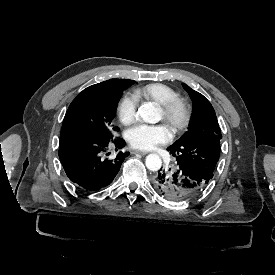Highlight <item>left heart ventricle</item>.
<instances>
[{
	"mask_svg": "<svg viewBox=\"0 0 275 275\" xmlns=\"http://www.w3.org/2000/svg\"><path fill=\"white\" fill-rule=\"evenodd\" d=\"M176 117H173L172 119H164V115L161 111V108H160V111H159V120H163L165 122V124L171 129L173 130V126H174V123L176 121Z\"/></svg>",
	"mask_w": 275,
	"mask_h": 275,
	"instance_id": "1",
	"label": "left heart ventricle"
}]
</instances>
